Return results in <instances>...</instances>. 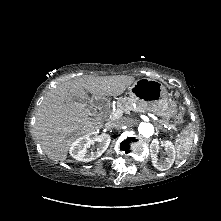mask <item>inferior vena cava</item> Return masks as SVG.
<instances>
[{"mask_svg": "<svg viewBox=\"0 0 221 221\" xmlns=\"http://www.w3.org/2000/svg\"><path fill=\"white\" fill-rule=\"evenodd\" d=\"M126 125V120L125 119H119L115 122L112 123L113 127H122Z\"/></svg>", "mask_w": 221, "mask_h": 221, "instance_id": "602c4592", "label": "inferior vena cava"}]
</instances>
